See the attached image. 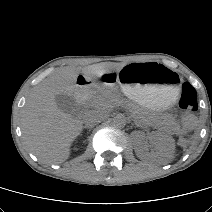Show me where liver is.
<instances>
[{"label": "liver", "mask_w": 212, "mask_h": 212, "mask_svg": "<svg viewBox=\"0 0 212 212\" xmlns=\"http://www.w3.org/2000/svg\"><path fill=\"white\" fill-rule=\"evenodd\" d=\"M123 63H99L82 69L91 77L111 71L118 72ZM79 71L64 67L39 84L22 110L21 127L28 149L45 164L64 162L70 154L71 143L82 131V121L61 111L55 102L57 94L74 95Z\"/></svg>", "instance_id": "1"}]
</instances>
